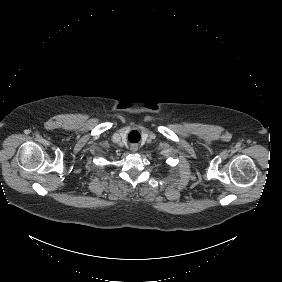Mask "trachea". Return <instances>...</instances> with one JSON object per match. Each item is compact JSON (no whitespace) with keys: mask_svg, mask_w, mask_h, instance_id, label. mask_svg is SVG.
<instances>
[{"mask_svg":"<svg viewBox=\"0 0 282 282\" xmlns=\"http://www.w3.org/2000/svg\"><path fill=\"white\" fill-rule=\"evenodd\" d=\"M130 142H138L140 140V134L137 131H132L130 132L129 136H128Z\"/></svg>","mask_w":282,"mask_h":282,"instance_id":"3493384b","label":"trachea"}]
</instances>
